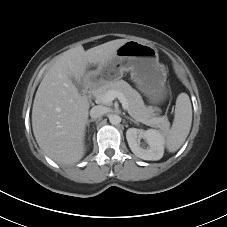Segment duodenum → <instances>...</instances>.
I'll return each mask as SVG.
<instances>
[{
    "mask_svg": "<svg viewBox=\"0 0 227 227\" xmlns=\"http://www.w3.org/2000/svg\"><path fill=\"white\" fill-rule=\"evenodd\" d=\"M95 83L93 81H87L85 84V89L87 93H91V91L94 89Z\"/></svg>",
    "mask_w": 227,
    "mask_h": 227,
    "instance_id": "obj_1",
    "label": "duodenum"
}]
</instances>
